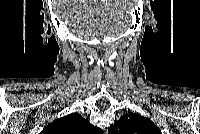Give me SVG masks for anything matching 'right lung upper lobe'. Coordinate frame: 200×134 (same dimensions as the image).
Masks as SVG:
<instances>
[{
    "label": "right lung upper lobe",
    "instance_id": "cb5924a9",
    "mask_svg": "<svg viewBox=\"0 0 200 134\" xmlns=\"http://www.w3.org/2000/svg\"><path fill=\"white\" fill-rule=\"evenodd\" d=\"M101 132V129L93 126L77 113L56 119L42 131L43 134H99Z\"/></svg>",
    "mask_w": 200,
    "mask_h": 134
}]
</instances>
